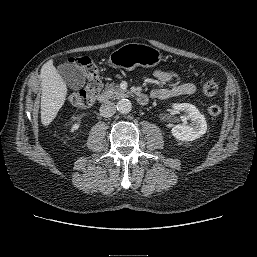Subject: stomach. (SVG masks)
I'll return each instance as SVG.
<instances>
[{
  "instance_id": "stomach-1",
  "label": "stomach",
  "mask_w": 257,
  "mask_h": 257,
  "mask_svg": "<svg viewBox=\"0 0 257 257\" xmlns=\"http://www.w3.org/2000/svg\"><path fill=\"white\" fill-rule=\"evenodd\" d=\"M160 51L146 44L128 43L114 50L109 63L115 68L131 71L138 66L154 67L161 61Z\"/></svg>"
}]
</instances>
